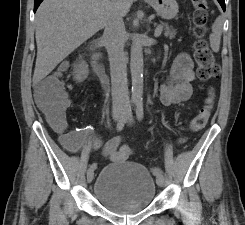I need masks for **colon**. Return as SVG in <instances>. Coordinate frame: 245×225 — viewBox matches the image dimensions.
Wrapping results in <instances>:
<instances>
[{
    "mask_svg": "<svg viewBox=\"0 0 245 225\" xmlns=\"http://www.w3.org/2000/svg\"><path fill=\"white\" fill-rule=\"evenodd\" d=\"M192 3L195 19L193 32L198 38L194 44V59L199 77L209 80L216 78L220 69L209 46L202 39L206 31L207 3L206 0H192ZM36 99L40 107L55 117L61 116L63 111L69 107L68 95L65 90L64 80L61 77L46 78L37 89ZM213 100L214 92L212 88H209L204 106L190 121L189 128L191 131H199L207 125L213 111ZM62 142L64 145H69L70 138L64 136Z\"/></svg>",
    "mask_w": 245,
    "mask_h": 225,
    "instance_id": "5ec220e1",
    "label": "colon"
}]
</instances>
